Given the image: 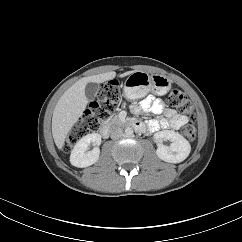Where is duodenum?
<instances>
[{"label":"duodenum","instance_id":"410a0bca","mask_svg":"<svg viewBox=\"0 0 242 242\" xmlns=\"http://www.w3.org/2000/svg\"><path fill=\"white\" fill-rule=\"evenodd\" d=\"M130 127H135V123L131 122L129 123ZM110 133V127L108 125H105L101 128L100 130V134L102 137L107 138L109 136Z\"/></svg>","mask_w":242,"mask_h":242}]
</instances>
